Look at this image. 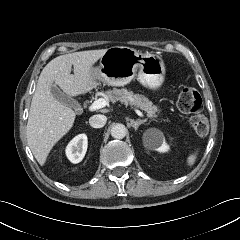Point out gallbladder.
I'll list each match as a JSON object with an SVG mask.
<instances>
[{"mask_svg":"<svg viewBox=\"0 0 240 240\" xmlns=\"http://www.w3.org/2000/svg\"><path fill=\"white\" fill-rule=\"evenodd\" d=\"M51 94L53 97L61 102L62 104L69 106L71 108L77 109L80 107L79 103L73 99L72 97L65 94L60 88H58L56 85L51 86Z\"/></svg>","mask_w":240,"mask_h":240,"instance_id":"1","label":"gallbladder"}]
</instances>
